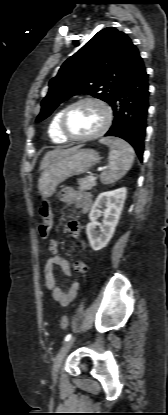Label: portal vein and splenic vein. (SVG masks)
I'll list each match as a JSON object with an SVG mask.
<instances>
[{
    "instance_id": "18ae733b",
    "label": "portal vein and splenic vein",
    "mask_w": 168,
    "mask_h": 415,
    "mask_svg": "<svg viewBox=\"0 0 168 415\" xmlns=\"http://www.w3.org/2000/svg\"><path fill=\"white\" fill-rule=\"evenodd\" d=\"M89 177H90L91 179H93V178H94V177H93V175H90Z\"/></svg>"
}]
</instances>
